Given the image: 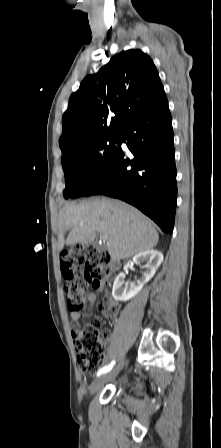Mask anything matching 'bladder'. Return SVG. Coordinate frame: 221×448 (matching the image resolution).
<instances>
[{"label": "bladder", "mask_w": 221, "mask_h": 448, "mask_svg": "<svg viewBox=\"0 0 221 448\" xmlns=\"http://www.w3.org/2000/svg\"><path fill=\"white\" fill-rule=\"evenodd\" d=\"M131 387V380L128 377L119 379L116 382V389L118 391H127Z\"/></svg>", "instance_id": "31cf9c89"}]
</instances>
